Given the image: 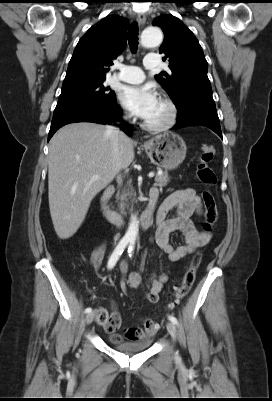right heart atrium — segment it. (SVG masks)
Here are the masks:
<instances>
[{"label": "right heart atrium", "instance_id": "obj_1", "mask_svg": "<svg viewBox=\"0 0 272 401\" xmlns=\"http://www.w3.org/2000/svg\"><path fill=\"white\" fill-rule=\"evenodd\" d=\"M120 114H121V117H122L123 119H129V118L131 117V113H130L129 110H128L127 108H125V107H122V108H121Z\"/></svg>", "mask_w": 272, "mask_h": 401}]
</instances>
